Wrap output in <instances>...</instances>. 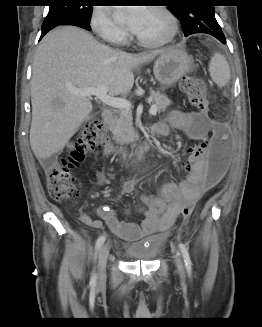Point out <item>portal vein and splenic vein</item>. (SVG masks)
<instances>
[{
  "label": "portal vein and splenic vein",
  "mask_w": 262,
  "mask_h": 327,
  "mask_svg": "<svg viewBox=\"0 0 262 327\" xmlns=\"http://www.w3.org/2000/svg\"><path fill=\"white\" fill-rule=\"evenodd\" d=\"M73 94L80 96H96L102 103L113 108L130 110L132 108L131 103L126 99H121L113 97L107 94V89L104 86H98L95 88H85V89H73L71 90ZM157 113L156 105H152L150 108V114L155 115Z\"/></svg>",
  "instance_id": "18ae733b"
}]
</instances>
